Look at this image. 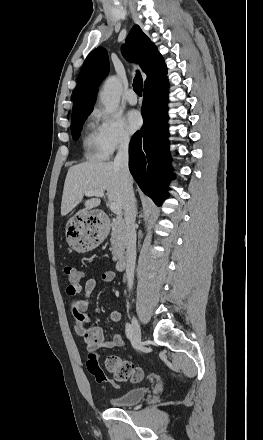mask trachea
Here are the masks:
<instances>
[{"mask_svg":"<svg viewBox=\"0 0 263 440\" xmlns=\"http://www.w3.org/2000/svg\"><path fill=\"white\" fill-rule=\"evenodd\" d=\"M133 89L137 95H139V96L142 95L143 80H142V77L139 72L136 74V76L133 80Z\"/></svg>","mask_w":263,"mask_h":440,"instance_id":"3493384b","label":"trachea"}]
</instances>
